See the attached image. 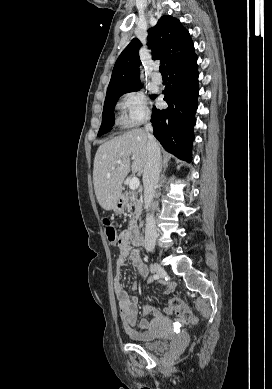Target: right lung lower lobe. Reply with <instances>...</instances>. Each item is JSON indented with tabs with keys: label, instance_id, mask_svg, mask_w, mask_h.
<instances>
[{
	"label": "right lung lower lobe",
	"instance_id": "obj_1",
	"mask_svg": "<svg viewBox=\"0 0 272 389\" xmlns=\"http://www.w3.org/2000/svg\"><path fill=\"white\" fill-rule=\"evenodd\" d=\"M168 74L169 82L162 92L168 108H153L154 136L166 151L190 162L199 93L196 54L172 67Z\"/></svg>",
	"mask_w": 272,
	"mask_h": 389
}]
</instances>
